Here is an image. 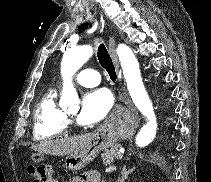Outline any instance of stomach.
I'll list each match as a JSON object with an SVG mask.
<instances>
[{
	"mask_svg": "<svg viewBox=\"0 0 211 182\" xmlns=\"http://www.w3.org/2000/svg\"><path fill=\"white\" fill-rule=\"evenodd\" d=\"M118 134L113 128H105L93 134L89 143L81 150L68 155L64 165L67 170L77 171L86 167L100 151L112 148L117 142ZM42 154H33L35 162L42 160Z\"/></svg>",
	"mask_w": 211,
	"mask_h": 182,
	"instance_id": "obj_1",
	"label": "stomach"
}]
</instances>
